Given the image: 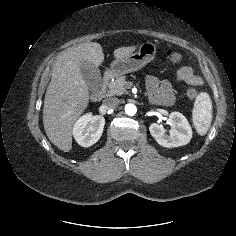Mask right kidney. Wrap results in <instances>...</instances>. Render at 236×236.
<instances>
[{
  "mask_svg": "<svg viewBox=\"0 0 236 236\" xmlns=\"http://www.w3.org/2000/svg\"><path fill=\"white\" fill-rule=\"evenodd\" d=\"M105 119L101 115L91 113L80 117L73 127V135L77 143L83 147L95 144L103 133Z\"/></svg>",
  "mask_w": 236,
  "mask_h": 236,
  "instance_id": "right-kidney-1",
  "label": "right kidney"
}]
</instances>
